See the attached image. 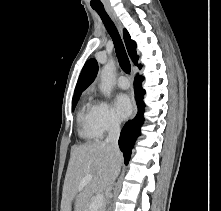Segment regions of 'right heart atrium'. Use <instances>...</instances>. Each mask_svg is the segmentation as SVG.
Here are the masks:
<instances>
[{"mask_svg":"<svg viewBox=\"0 0 221 211\" xmlns=\"http://www.w3.org/2000/svg\"><path fill=\"white\" fill-rule=\"evenodd\" d=\"M93 121L98 133L102 136L114 132L120 127V120L113 108L105 101H96L93 105Z\"/></svg>","mask_w":221,"mask_h":211,"instance_id":"1","label":"right heart atrium"}]
</instances>
